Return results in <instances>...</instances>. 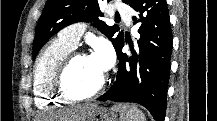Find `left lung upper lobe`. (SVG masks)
Wrapping results in <instances>:
<instances>
[{"instance_id":"left-lung-upper-lobe-1","label":"left lung upper lobe","mask_w":217,"mask_h":121,"mask_svg":"<svg viewBox=\"0 0 217 121\" xmlns=\"http://www.w3.org/2000/svg\"><path fill=\"white\" fill-rule=\"evenodd\" d=\"M103 0H48L39 18L33 42V59L43 45L62 28L78 21L93 22L92 25L104 33L113 43L115 50L124 35L117 25L108 26L100 21L103 13L99 4ZM108 2L110 0H107ZM129 4L131 0H122Z\"/></svg>"}]
</instances>
